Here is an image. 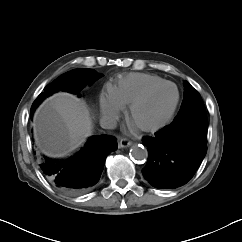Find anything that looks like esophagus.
<instances>
[{"instance_id":"obj_1","label":"esophagus","mask_w":242,"mask_h":242,"mask_svg":"<svg viewBox=\"0 0 242 242\" xmlns=\"http://www.w3.org/2000/svg\"><path fill=\"white\" fill-rule=\"evenodd\" d=\"M132 144V141L126 139V138H122L119 140V147L120 148H125L128 147Z\"/></svg>"}]
</instances>
